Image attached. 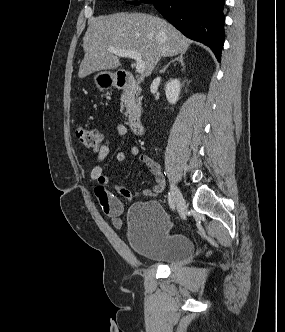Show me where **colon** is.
I'll return each mask as SVG.
<instances>
[{"mask_svg":"<svg viewBox=\"0 0 285 332\" xmlns=\"http://www.w3.org/2000/svg\"><path fill=\"white\" fill-rule=\"evenodd\" d=\"M79 142L88 149L96 150L100 147L103 136L94 128L79 127L76 131Z\"/></svg>","mask_w":285,"mask_h":332,"instance_id":"colon-1","label":"colon"}]
</instances>
